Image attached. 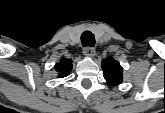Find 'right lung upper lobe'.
I'll use <instances>...</instances> for the list:
<instances>
[{
	"label": "right lung upper lobe",
	"instance_id": "obj_1",
	"mask_svg": "<svg viewBox=\"0 0 165 113\" xmlns=\"http://www.w3.org/2000/svg\"><path fill=\"white\" fill-rule=\"evenodd\" d=\"M54 68L58 72L59 77H65L69 75L72 69V61L68 59H61L60 62L54 66Z\"/></svg>",
	"mask_w": 165,
	"mask_h": 113
}]
</instances>
